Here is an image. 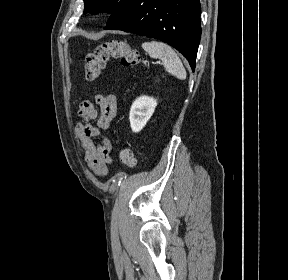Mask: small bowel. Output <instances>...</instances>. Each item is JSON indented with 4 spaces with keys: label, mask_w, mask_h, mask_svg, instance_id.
<instances>
[{
    "label": "small bowel",
    "mask_w": 288,
    "mask_h": 280,
    "mask_svg": "<svg viewBox=\"0 0 288 280\" xmlns=\"http://www.w3.org/2000/svg\"><path fill=\"white\" fill-rule=\"evenodd\" d=\"M116 112V98L111 94H96L93 101H82L77 111L80 121L75 130L84 150L85 161L90 170L100 177L108 173V165L112 162V142L104 131L109 128ZM94 120L96 125L91 124Z\"/></svg>",
    "instance_id": "small-bowel-1"
}]
</instances>
